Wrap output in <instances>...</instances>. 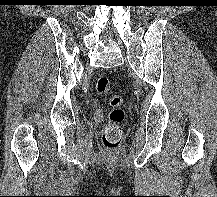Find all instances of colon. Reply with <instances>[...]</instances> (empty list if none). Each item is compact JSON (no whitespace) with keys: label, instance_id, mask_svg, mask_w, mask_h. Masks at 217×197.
Masks as SVG:
<instances>
[{"label":"colon","instance_id":"colon-1","mask_svg":"<svg viewBox=\"0 0 217 197\" xmlns=\"http://www.w3.org/2000/svg\"><path fill=\"white\" fill-rule=\"evenodd\" d=\"M96 91L100 94L109 95V103L113 109L109 113V122L102 132V144L109 151H115L120 146L121 129L120 123L125 118V112L121 108L122 98L119 95L110 94V79L107 76H100L96 80Z\"/></svg>","mask_w":217,"mask_h":197}]
</instances>
